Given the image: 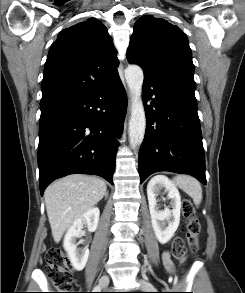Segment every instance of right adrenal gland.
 Instances as JSON below:
<instances>
[{"mask_svg":"<svg viewBox=\"0 0 245 293\" xmlns=\"http://www.w3.org/2000/svg\"><path fill=\"white\" fill-rule=\"evenodd\" d=\"M107 197H108V193L105 194V198H106V199H107Z\"/></svg>","mask_w":245,"mask_h":293,"instance_id":"right-adrenal-gland-1","label":"right adrenal gland"}]
</instances>
